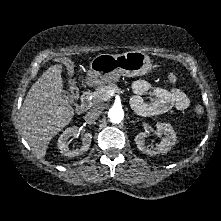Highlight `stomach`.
I'll return each mask as SVG.
<instances>
[{"mask_svg": "<svg viewBox=\"0 0 221 221\" xmlns=\"http://www.w3.org/2000/svg\"><path fill=\"white\" fill-rule=\"evenodd\" d=\"M151 69L150 57L141 51L119 55L100 54L91 61L86 81L89 85H102L117 82L121 76L145 75Z\"/></svg>", "mask_w": 221, "mask_h": 221, "instance_id": "obj_1", "label": "stomach"}]
</instances>
